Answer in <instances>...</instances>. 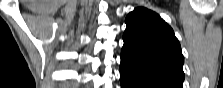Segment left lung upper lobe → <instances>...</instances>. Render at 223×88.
<instances>
[{
    "instance_id": "left-lung-upper-lobe-1",
    "label": "left lung upper lobe",
    "mask_w": 223,
    "mask_h": 88,
    "mask_svg": "<svg viewBox=\"0 0 223 88\" xmlns=\"http://www.w3.org/2000/svg\"><path fill=\"white\" fill-rule=\"evenodd\" d=\"M125 22L121 65L183 88L184 57L172 28L144 7L135 8Z\"/></svg>"
}]
</instances>
